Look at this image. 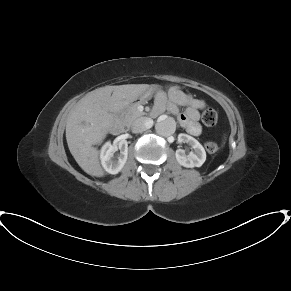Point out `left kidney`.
<instances>
[{"mask_svg":"<svg viewBox=\"0 0 291 291\" xmlns=\"http://www.w3.org/2000/svg\"><path fill=\"white\" fill-rule=\"evenodd\" d=\"M179 143H187L193 151L186 154L183 149L176 150L177 162L186 168L201 167L206 160V152L203 146L192 136L181 133L178 135Z\"/></svg>","mask_w":291,"mask_h":291,"instance_id":"5707ae66","label":"left kidney"}]
</instances>
